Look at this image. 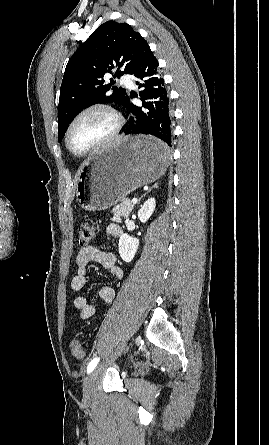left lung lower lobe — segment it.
I'll return each instance as SVG.
<instances>
[{
  "label": "left lung lower lobe",
  "instance_id": "left-lung-lower-lobe-1",
  "mask_svg": "<svg viewBox=\"0 0 269 445\" xmlns=\"http://www.w3.org/2000/svg\"><path fill=\"white\" fill-rule=\"evenodd\" d=\"M158 61L150 47L143 53L132 71L136 84L142 91L138 96L141 106L130 102L127 96L124 106L132 114L129 128L125 134H145L154 137L155 142L144 147L151 156L169 154L172 140V108L164 79L158 73Z\"/></svg>",
  "mask_w": 269,
  "mask_h": 445
}]
</instances>
